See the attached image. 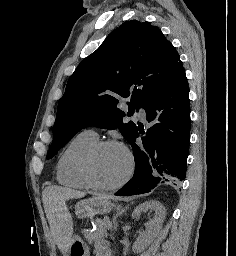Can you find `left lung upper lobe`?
Masks as SVG:
<instances>
[{"label":"left lung upper lobe","instance_id":"left-lung-upper-lobe-1","mask_svg":"<svg viewBox=\"0 0 236 256\" xmlns=\"http://www.w3.org/2000/svg\"><path fill=\"white\" fill-rule=\"evenodd\" d=\"M182 68L177 51L157 26L138 20L123 23L69 78L47 158L88 126L119 128L129 142L137 126L123 123L121 97L131 96L127 115L132 116Z\"/></svg>","mask_w":236,"mask_h":256}]
</instances>
